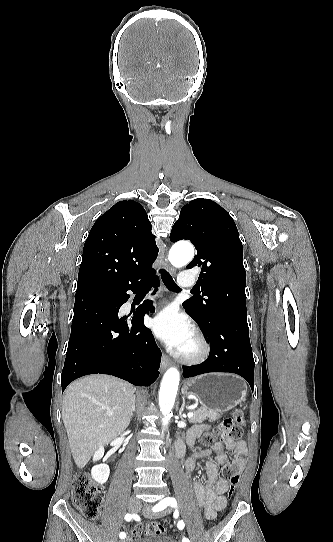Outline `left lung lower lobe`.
Here are the masks:
<instances>
[{"label": "left lung lower lobe", "instance_id": "left-lung-lower-lobe-1", "mask_svg": "<svg viewBox=\"0 0 333 542\" xmlns=\"http://www.w3.org/2000/svg\"><path fill=\"white\" fill-rule=\"evenodd\" d=\"M204 332L210 342L208 359L199 365L183 367V376L188 378L209 372H230L242 376L253 390L255 364L247 316L223 314Z\"/></svg>", "mask_w": 333, "mask_h": 542}]
</instances>
